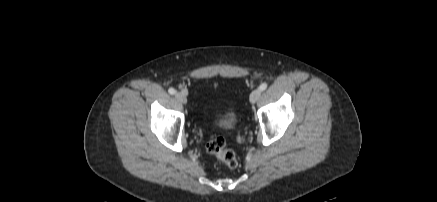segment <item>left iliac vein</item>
Segmentation results:
<instances>
[{
  "instance_id": "4c4485c4",
  "label": "left iliac vein",
  "mask_w": 437,
  "mask_h": 202,
  "mask_svg": "<svg viewBox=\"0 0 437 202\" xmlns=\"http://www.w3.org/2000/svg\"><path fill=\"white\" fill-rule=\"evenodd\" d=\"M260 96H261V90L259 88L253 90L252 93L250 94V102L251 103L257 102Z\"/></svg>"
}]
</instances>
